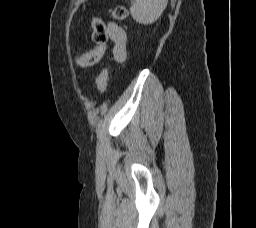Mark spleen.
Here are the masks:
<instances>
[{"label":"spleen","instance_id":"obj_1","mask_svg":"<svg viewBox=\"0 0 256 228\" xmlns=\"http://www.w3.org/2000/svg\"><path fill=\"white\" fill-rule=\"evenodd\" d=\"M167 3L168 0H132L130 13L136 22L152 24L160 17Z\"/></svg>","mask_w":256,"mask_h":228}]
</instances>
